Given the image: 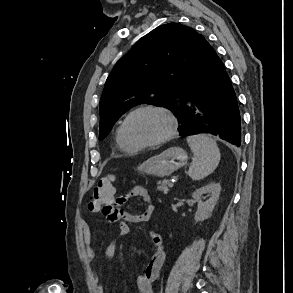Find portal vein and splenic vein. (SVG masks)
I'll return each instance as SVG.
<instances>
[{"mask_svg": "<svg viewBox=\"0 0 293 293\" xmlns=\"http://www.w3.org/2000/svg\"><path fill=\"white\" fill-rule=\"evenodd\" d=\"M174 186V183L173 182H170L169 183V187H173Z\"/></svg>", "mask_w": 293, "mask_h": 293, "instance_id": "1", "label": "portal vein and splenic vein"}]
</instances>
